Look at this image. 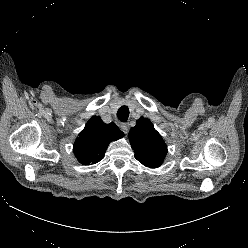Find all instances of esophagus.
<instances>
[{
  "instance_id": "1",
  "label": "esophagus",
  "mask_w": 248,
  "mask_h": 248,
  "mask_svg": "<svg viewBox=\"0 0 248 248\" xmlns=\"http://www.w3.org/2000/svg\"><path fill=\"white\" fill-rule=\"evenodd\" d=\"M120 129H121L125 134H128V132H129V125L126 124V123H122V124H120Z\"/></svg>"
}]
</instances>
